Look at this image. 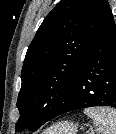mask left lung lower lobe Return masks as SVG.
I'll return each mask as SVG.
<instances>
[{
	"label": "left lung lower lobe",
	"mask_w": 116,
	"mask_h": 134,
	"mask_svg": "<svg viewBox=\"0 0 116 134\" xmlns=\"http://www.w3.org/2000/svg\"><path fill=\"white\" fill-rule=\"evenodd\" d=\"M116 108V25L111 14L100 29L74 79L70 98L59 105L49 120L82 108Z\"/></svg>",
	"instance_id": "0a47b994"
}]
</instances>
